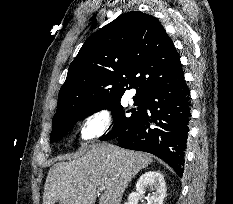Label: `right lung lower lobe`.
Wrapping results in <instances>:
<instances>
[{
  "instance_id": "obj_1",
  "label": "right lung lower lobe",
  "mask_w": 233,
  "mask_h": 204,
  "mask_svg": "<svg viewBox=\"0 0 233 204\" xmlns=\"http://www.w3.org/2000/svg\"><path fill=\"white\" fill-rule=\"evenodd\" d=\"M190 119V91L178 62L145 94L143 110L133 123L111 139L116 138L123 148L156 155L181 176Z\"/></svg>"
}]
</instances>
